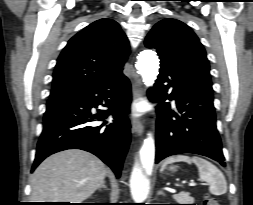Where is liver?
I'll list each match as a JSON object with an SVG mask.
<instances>
[{
  "mask_svg": "<svg viewBox=\"0 0 253 205\" xmlns=\"http://www.w3.org/2000/svg\"><path fill=\"white\" fill-rule=\"evenodd\" d=\"M107 169L93 154L65 150L46 158L31 177L34 202L82 203L104 182Z\"/></svg>",
  "mask_w": 253,
  "mask_h": 205,
  "instance_id": "obj_1",
  "label": "liver"
}]
</instances>
